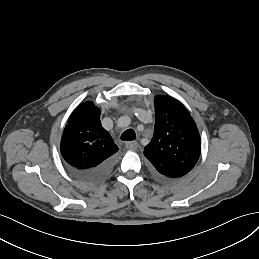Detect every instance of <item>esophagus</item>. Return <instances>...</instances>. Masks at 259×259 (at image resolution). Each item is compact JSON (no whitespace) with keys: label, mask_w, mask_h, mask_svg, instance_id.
I'll return each instance as SVG.
<instances>
[{"label":"esophagus","mask_w":259,"mask_h":259,"mask_svg":"<svg viewBox=\"0 0 259 259\" xmlns=\"http://www.w3.org/2000/svg\"><path fill=\"white\" fill-rule=\"evenodd\" d=\"M126 148L129 150H136L138 148V143L136 141L128 142Z\"/></svg>","instance_id":"1"}]
</instances>
